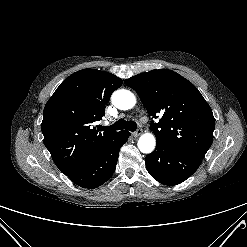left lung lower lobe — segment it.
<instances>
[{"instance_id":"1","label":"left lung lower lobe","mask_w":247,"mask_h":247,"mask_svg":"<svg viewBox=\"0 0 247 247\" xmlns=\"http://www.w3.org/2000/svg\"><path fill=\"white\" fill-rule=\"evenodd\" d=\"M149 174L165 185H177L188 179L202 163V158L168 148L157 143L146 156Z\"/></svg>"}]
</instances>
